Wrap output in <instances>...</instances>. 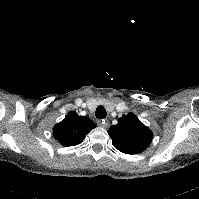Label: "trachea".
I'll list each match as a JSON object with an SVG mask.
<instances>
[{
	"label": "trachea",
	"mask_w": 199,
	"mask_h": 199,
	"mask_svg": "<svg viewBox=\"0 0 199 199\" xmlns=\"http://www.w3.org/2000/svg\"><path fill=\"white\" fill-rule=\"evenodd\" d=\"M95 115L99 119L106 118V109L103 106H98Z\"/></svg>",
	"instance_id": "3493384b"
}]
</instances>
